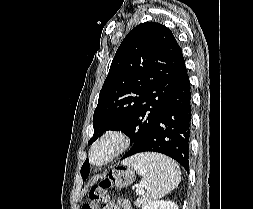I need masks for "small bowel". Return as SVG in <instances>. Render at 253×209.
I'll return each instance as SVG.
<instances>
[{"instance_id": "small-bowel-1", "label": "small bowel", "mask_w": 253, "mask_h": 209, "mask_svg": "<svg viewBox=\"0 0 253 209\" xmlns=\"http://www.w3.org/2000/svg\"><path fill=\"white\" fill-rule=\"evenodd\" d=\"M119 205L115 206L114 209H131L129 202L126 199H119Z\"/></svg>"}]
</instances>
